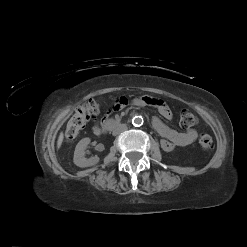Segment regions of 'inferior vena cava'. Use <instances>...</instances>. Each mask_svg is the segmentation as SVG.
Instances as JSON below:
<instances>
[{
    "label": "inferior vena cava",
    "instance_id": "obj_1",
    "mask_svg": "<svg viewBox=\"0 0 247 247\" xmlns=\"http://www.w3.org/2000/svg\"><path fill=\"white\" fill-rule=\"evenodd\" d=\"M125 130H127L126 124H120V125L116 126V127L113 129L112 134H113L114 136H116V135L120 134L121 132H123V131H125Z\"/></svg>",
    "mask_w": 247,
    "mask_h": 247
}]
</instances>
